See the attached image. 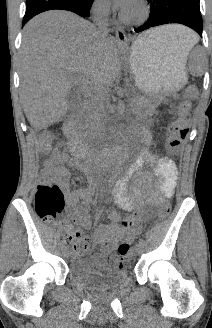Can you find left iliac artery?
I'll list each match as a JSON object with an SVG mask.
<instances>
[{
	"label": "left iliac artery",
	"mask_w": 212,
	"mask_h": 328,
	"mask_svg": "<svg viewBox=\"0 0 212 328\" xmlns=\"http://www.w3.org/2000/svg\"><path fill=\"white\" fill-rule=\"evenodd\" d=\"M139 243L142 244V245H144V244H145L144 239H143V238H140V239H139Z\"/></svg>",
	"instance_id": "1"
}]
</instances>
